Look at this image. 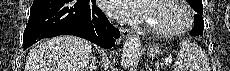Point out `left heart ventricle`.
Wrapping results in <instances>:
<instances>
[{
  "label": "left heart ventricle",
  "mask_w": 230,
  "mask_h": 71,
  "mask_svg": "<svg viewBox=\"0 0 230 71\" xmlns=\"http://www.w3.org/2000/svg\"><path fill=\"white\" fill-rule=\"evenodd\" d=\"M150 18L148 24L162 29H175L183 24L181 12L174 6L161 1H148Z\"/></svg>",
  "instance_id": "b2bd125f"
}]
</instances>
